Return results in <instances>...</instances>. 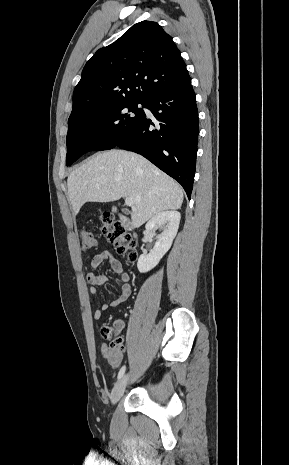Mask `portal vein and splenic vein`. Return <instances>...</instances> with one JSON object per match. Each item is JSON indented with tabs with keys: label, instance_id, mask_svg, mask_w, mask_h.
Returning <instances> with one entry per match:
<instances>
[{
	"label": "portal vein and splenic vein",
	"instance_id": "obj_1",
	"mask_svg": "<svg viewBox=\"0 0 289 465\" xmlns=\"http://www.w3.org/2000/svg\"><path fill=\"white\" fill-rule=\"evenodd\" d=\"M125 204H126L127 206L133 207V205H134V200H133V198H131V197L126 198V199H125Z\"/></svg>",
	"mask_w": 289,
	"mask_h": 465
}]
</instances>
